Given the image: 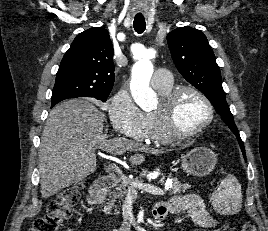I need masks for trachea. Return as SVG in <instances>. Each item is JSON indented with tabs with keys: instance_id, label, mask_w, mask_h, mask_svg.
Segmentation results:
<instances>
[{
	"instance_id": "1",
	"label": "trachea",
	"mask_w": 268,
	"mask_h": 231,
	"mask_svg": "<svg viewBox=\"0 0 268 231\" xmlns=\"http://www.w3.org/2000/svg\"><path fill=\"white\" fill-rule=\"evenodd\" d=\"M133 27L138 34L143 33L146 28L145 19L134 18Z\"/></svg>"
}]
</instances>
